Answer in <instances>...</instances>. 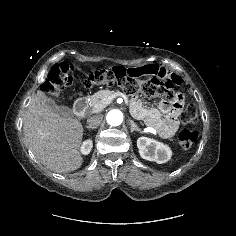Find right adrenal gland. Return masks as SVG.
Listing matches in <instances>:
<instances>
[{"label": "right adrenal gland", "mask_w": 236, "mask_h": 236, "mask_svg": "<svg viewBox=\"0 0 236 236\" xmlns=\"http://www.w3.org/2000/svg\"><path fill=\"white\" fill-rule=\"evenodd\" d=\"M87 129H95L96 127L93 126H86Z\"/></svg>", "instance_id": "1"}]
</instances>
